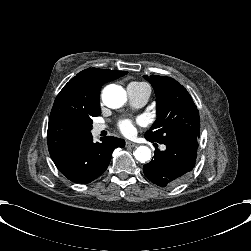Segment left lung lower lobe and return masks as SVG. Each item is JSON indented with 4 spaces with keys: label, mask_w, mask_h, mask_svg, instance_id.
<instances>
[{
    "label": "left lung lower lobe",
    "mask_w": 251,
    "mask_h": 251,
    "mask_svg": "<svg viewBox=\"0 0 251 251\" xmlns=\"http://www.w3.org/2000/svg\"><path fill=\"white\" fill-rule=\"evenodd\" d=\"M165 145V151H155L154 159L143 166V172L152 183L160 187H172L181 183L195 167L198 142Z\"/></svg>",
    "instance_id": "1"
}]
</instances>
